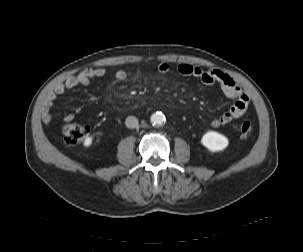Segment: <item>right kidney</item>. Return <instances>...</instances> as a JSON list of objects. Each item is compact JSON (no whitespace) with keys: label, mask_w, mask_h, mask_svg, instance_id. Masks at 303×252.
I'll return each instance as SVG.
<instances>
[{"label":"right kidney","mask_w":303,"mask_h":252,"mask_svg":"<svg viewBox=\"0 0 303 252\" xmlns=\"http://www.w3.org/2000/svg\"><path fill=\"white\" fill-rule=\"evenodd\" d=\"M92 141H93V136H88L85 138L83 145L85 147H89L92 144Z\"/></svg>","instance_id":"1"}]
</instances>
